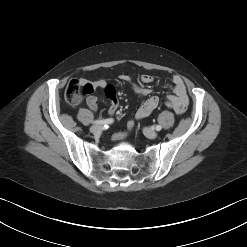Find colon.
I'll list each match as a JSON object with an SVG mask.
<instances>
[{
	"mask_svg": "<svg viewBox=\"0 0 247 247\" xmlns=\"http://www.w3.org/2000/svg\"><path fill=\"white\" fill-rule=\"evenodd\" d=\"M93 91L89 85H82L77 80H72L68 83L65 89V100L70 106H77L81 103L84 95L89 94ZM165 106L169 109L174 110L175 104L171 100L165 101Z\"/></svg>",
	"mask_w": 247,
	"mask_h": 247,
	"instance_id": "colon-1",
	"label": "colon"
}]
</instances>
